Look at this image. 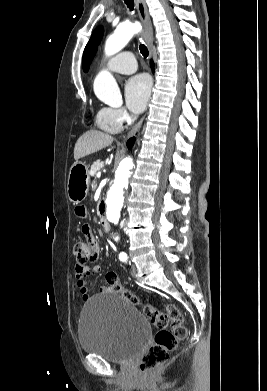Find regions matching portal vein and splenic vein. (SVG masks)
I'll use <instances>...</instances> for the list:
<instances>
[{
    "label": "portal vein and splenic vein",
    "instance_id": "18ae733b",
    "mask_svg": "<svg viewBox=\"0 0 267 391\" xmlns=\"http://www.w3.org/2000/svg\"><path fill=\"white\" fill-rule=\"evenodd\" d=\"M100 176H101V172H98V173H97V177H100Z\"/></svg>",
    "mask_w": 267,
    "mask_h": 391
}]
</instances>
